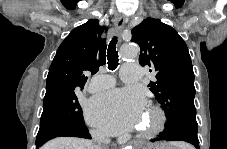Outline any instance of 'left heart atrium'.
<instances>
[{"instance_id":"obj_1","label":"left heart atrium","mask_w":227,"mask_h":149,"mask_svg":"<svg viewBox=\"0 0 227 149\" xmlns=\"http://www.w3.org/2000/svg\"><path fill=\"white\" fill-rule=\"evenodd\" d=\"M143 94L134 89H115L93 96L85 109L86 119L109 134L132 130L142 121Z\"/></svg>"}]
</instances>
